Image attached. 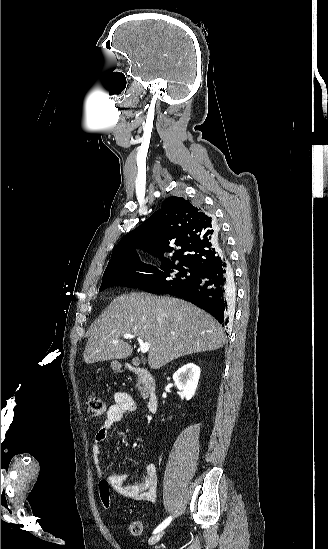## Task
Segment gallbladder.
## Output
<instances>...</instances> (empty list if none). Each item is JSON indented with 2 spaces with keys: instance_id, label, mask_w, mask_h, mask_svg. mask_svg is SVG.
Here are the masks:
<instances>
[{
  "instance_id": "obj_1",
  "label": "gallbladder",
  "mask_w": 328,
  "mask_h": 549,
  "mask_svg": "<svg viewBox=\"0 0 328 549\" xmlns=\"http://www.w3.org/2000/svg\"><path fill=\"white\" fill-rule=\"evenodd\" d=\"M132 365H134V367H138V365H140V361L138 357H135V359H132Z\"/></svg>"
}]
</instances>
